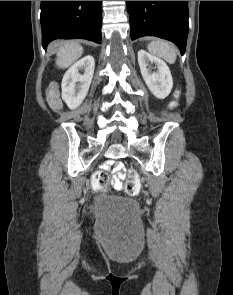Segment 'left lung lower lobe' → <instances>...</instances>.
I'll list each match as a JSON object with an SVG mask.
<instances>
[{
    "label": "left lung lower lobe",
    "instance_id": "0a47b994",
    "mask_svg": "<svg viewBox=\"0 0 233 295\" xmlns=\"http://www.w3.org/2000/svg\"><path fill=\"white\" fill-rule=\"evenodd\" d=\"M131 39L157 36L184 54L188 36V1H127Z\"/></svg>",
    "mask_w": 233,
    "mask_h": 295
}]
</instances>
